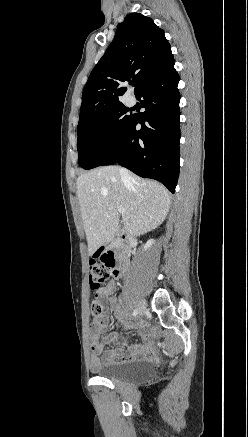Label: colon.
<instances>
[{
  "label": "colon",
  "mask_w": 248,
  "mask_h": 437,
  "mask_svg": "<svg viewBox=\"0 0 248 437\" xmlns=\"http://www.w3.org/2000/svg\"><path fill=\"white\" fill-rule=\"evenodd\" d=\"M114 267L113 261L106 255V257H96L90 261V287L93 291H97L109 279L111 271ZM102 303L95 298L91 302L92 314L99 318L102 315Z\"/></svg>",
  "instance_id": "obj_1"
}]
</instances>
